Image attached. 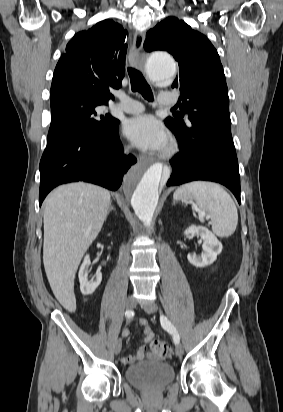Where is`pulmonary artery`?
I'll list each match as a JSON object with an SVG mask.
<instances>
[{
    "mask_svg": "<svg viewBox=\"0 0 283 412\" xmlns=\"http://www.w3.org/2000/svg\"><path fill=\"white\" fill-rule=\"evenodd\" d=\"M120 99L121 103L118 105V109L123 112L137 114L144 110L143 104L137 100L124 95H121ZM176 101L177 98L172 93H164L158 97V103L161 106H172L176 103Z\"/></svg>",
    "mask_w": 283,
    "mask_h": 412,
    "instance_id": "1",
    "label": "pulmonary artery"
}]
</instances>
